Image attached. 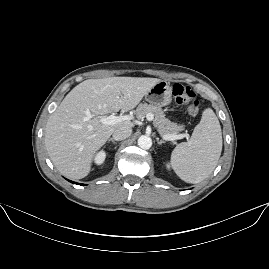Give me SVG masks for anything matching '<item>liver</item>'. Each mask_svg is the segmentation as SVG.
Instances as JSON below:
<instances>
[{"mask_svg": "<svg viewBox=\"0 0 269 269\" xmlns=\"http://www.w3.org/2000/svg\"><path fill=\"white\" fill-rule=\"evenodd\" d=\"M162 80L148 77L87 79L75 86L50 115L45 146L61 174L82 179L90 174L93 160L109 137L121 127L135 128L126 119L107 125L109 113L135 109Z\"/></svg>", "mask_w": 269, "mask_h": 269, "instance_id": "6515ba94", "label": "liver"}]
</instances>
